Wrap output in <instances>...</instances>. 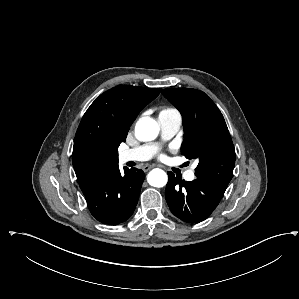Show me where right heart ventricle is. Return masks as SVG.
<instances>
[{"label":"right heart ventricle","instance_id":"right-heart-ventricle-1","mask_svg":"<svg viewBox=\"0 0 299 299\" xmlns=\"http://www.w3.org/2000/svg\"><path fill=\"white\" fill-rule=\"evenodd\" d=\"M165 110H174V109H165ZM164 111V110H163Z\"/></svg>","mask_w":299,"mask_h":299}]
</instances>
